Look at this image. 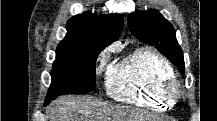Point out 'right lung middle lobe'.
<instances>
[{"mask_svg": "<svg viewBox=\"0 0 217 121\" xmlns=\"http://www.w3.org/2000/svg\"><path fill=\"white\" fill-rule=\"evenodd\" d=\"M101 50L96 43L58 45L46 101L63 94L90 92L95 87V64Z\"/></svg>", "mask_w": 217, "mask_h": 121, "instance_id": "1", "label": "right lung middle lobe"}]
</instances>
